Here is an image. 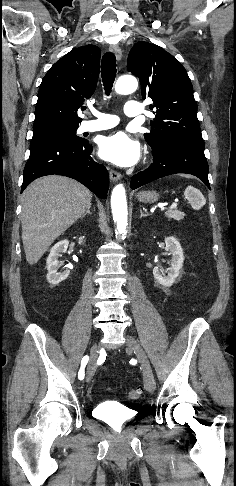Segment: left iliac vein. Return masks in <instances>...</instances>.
Wrapping results in <instances>:
<instances>
[{"instance_id":"left-iliac-vein-1","label":"left iliac vein","mask_w":236,"mask_h":486,"mask_svg":"<svg viewBox=\"0 0 236 486\" xmlns=\"http://www.w3.org/2000/svg\"><path fill=\"white\" fill-rule=\"evenodd\" d=\"M126 346L128 349L132 350L143 370L144 375V387L148 392H154L156 385L153 379L152 368L148 357L142 348V346L137 342L132 336L126 335Z\"/></svg>"}]
</instances>
